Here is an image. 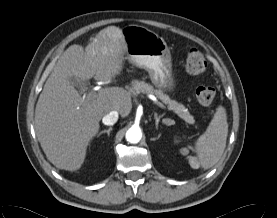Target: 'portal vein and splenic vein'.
I'll return each mask as SVG.
<instances>
[{"instance_id":"1","label":"portal vein and splenic vein","mask_w":277,"mask_h":218,"mask_svg":"<svg viewBox=\"0 0 277 218\" xmlns=\"http://www.w3.org/2000/svg\"><path fill=\"white\" fill-rule=\"evenodd\" d=\"M97 96L95 92H91L88 94L87 99H94ZM150 98L162 109H166V106L159 102L154 96H150Z\"/></svg>"}]
</instances>
